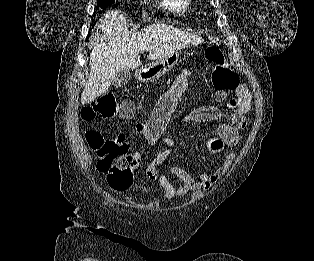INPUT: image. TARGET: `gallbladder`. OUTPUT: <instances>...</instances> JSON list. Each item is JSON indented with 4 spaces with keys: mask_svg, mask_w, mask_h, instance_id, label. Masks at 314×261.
Returning <instances> with one entry per match:
<instances>
[{
    "mask_svg": "<svg viewBox=\"0 0 314 261\" xmlns=\"http://www.w3.org/2000/svg\"><path fill=\"white\" fill-rule=\"evenodd\" d=\"M131 75L130 71L128 69L121 70L115 77V79L112 82V85L114 87H123L125 86L128 81L130 80Z\"/></svg>",
    "mask_w": 314,
    "mask_h": 261,
    "instance_id": "gallbladder-1",
    "label": "gallbladder"
}]
</instances>
